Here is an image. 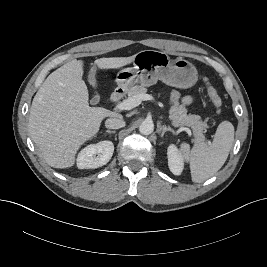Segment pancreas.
I'll return each mask as SVG.
<instances>
[{
    "mask_svg": "<svg viewBox=\"0 0 267 267\" xmlns=\"http://www.w3.org/2000/svg\"><path fill=\"white\" fill-rule=\"evenodd\" d=\"M147 89L142 85H136L128 91V98L139 94H145ZM169 119L174 126L191 127L194 134V142H202L205 140L204 130L208 128L206 121H202L199 115L188 114L185 106L175 101L169 109Z\"/></svg>",
    "mask_w": 267,
    "mask_h": 267,
    "instance_id": "cf45deb5",
    "label": "pancreas"
}]
</instances>
